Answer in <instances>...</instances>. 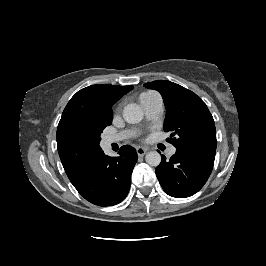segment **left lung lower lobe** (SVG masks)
Masks as SVG:
<instances>
[{
	"label": "left lung lower lobe",
	"mask_w": 266,
	"mask_h": 266,
	"mask_svg": "<svg viewBox=\"0 0 266 266\" xmlns=\"http://www.w3.org/2000/svg\"><path fill=\"white\" fill-rule=\"evenodd\" d=\"M215 152L214 149H176L169 160L162 156L155 172L163 190L176 198L194 195L212 172Z\"/></svg>",
	"instance_id": "1"
}]
</instances>
